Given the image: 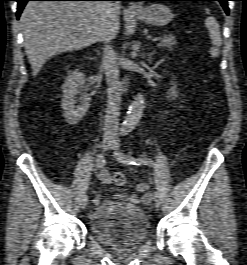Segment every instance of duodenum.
<instances>
[{"instance_id": "410a0bca", "label": "duodenum", "mask_w": 247, "mask_h": 265, "mask_svg": "<svg viewBox=\"0 0 247 265\" xmlns=\"http://www.w3.org/2000/svg\"><path fill=\"white\" fill-rule=\"evenodd\" d=\"M125 82H121L120 90L122 91L124 89Z\"/></svg>"}]
</instances>
